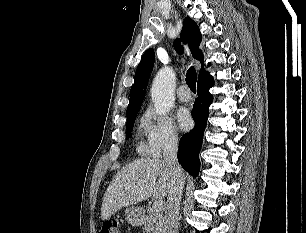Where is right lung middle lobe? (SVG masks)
Instances as JSON below:
<instances>
[{
  "label": "right lung middle lobe",
  "instance_id": "obj_1",
  "mask_svg": "<svg viewBox=\"0 0 306 233\" xmlns=\"http://www.w3.org/2000/svg\"><path fill=\"white\" fill-rule=\"evenodd\" d=\"M137 112L127 116V134L126 139L130 137L131 131L133 130L134 121L136 119Z\"/></svg>",
  "mask_w": 306,
  "mask_h": 233
}]
</instances>
